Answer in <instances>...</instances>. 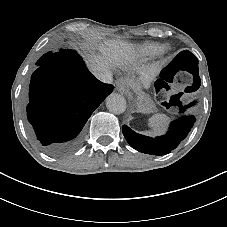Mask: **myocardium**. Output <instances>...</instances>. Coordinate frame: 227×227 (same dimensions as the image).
<instances>
[{"label":"myocardium","instance_id":"1","mask_svg":"<svg viewBox=\"0 0 227 227\" xmlns=\"http://www.w3.org/2000/svg\"><path fill=\"white\" fill-rule=\"evenodd\" d=\"M169 50H170L169 47H163V48L161 49V52L164 54V53L168 52Z\"/></svg>","mask_w":227,"mask_h":227}]
</instances>
